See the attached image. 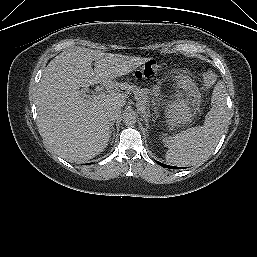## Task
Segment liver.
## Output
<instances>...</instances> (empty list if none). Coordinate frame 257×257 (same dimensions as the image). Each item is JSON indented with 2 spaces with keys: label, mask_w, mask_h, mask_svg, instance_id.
I'll use <instances>...</instances> for the list:
<instances>
[{
  "label": "liver",
  "mask_w": 257,
  "mask_h": 257,
  "mask_svg": "<svg viewBox=\"0 0 257 257\" xmlns=\"http://www.w3.org/2000/svg\"><path fill=\"white\" fill-rule=\"evenodd\" d=\"M147 61L87 48L68 49L51 60L38 85L36 108L41 136L54 153L81 163L103 152L111 131L106 113L126 104L119 91L122 85L114 80ZM99 83L110 93L100 99L84 98L80 87Z\"/></svg>",
  "instance_id": "1"
}]
</instances>
